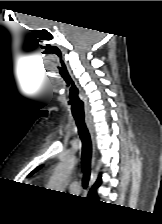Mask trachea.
<instances>
[{"label": "trachea", "instance_id": "1", "mask_svg": "<svg viewBox=\"0 0 162 224\" xmlns=\"http://www.w3.org/2000/svg\"><path fill=\"white\" fill-rule=\"evenodd\" d=\"M78 132L82 141V157H81V167L83 171L82 184L86 189L90 179L91 173V158H92V141L90 133L85 123L84 117L74 116Z\"/></svg>", "mask_w": 162, "mask_h": 224}]
</instances>
